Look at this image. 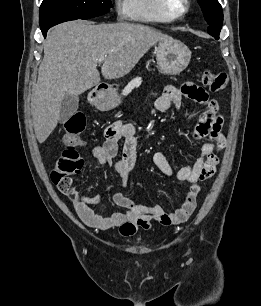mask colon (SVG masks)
<instances>
[{"label": "colon", "instance_id": "obj_1", "mask_svg": "<svg viewBox=\"0 0 261 306\" xmlns=\"http://www.w3.org/2000/svg\"><path fill=\"white\" fill-rule=\"evenodd\" d=\"M202 82L212 91H221L228 87L229 78L225 73H213L203 71L201 74ZM86 127V117L82 112H75L65 122V135L63 138L65 148L61 153L55 167L51 171V180L58 189L70 196L74 202H86L79 192L71 186V175L77 174L83 167V160L76 150L79 136Z\"/></svg>", "mask_w": 261, "mask_h": 306}]
</instances>
